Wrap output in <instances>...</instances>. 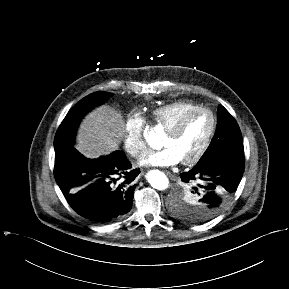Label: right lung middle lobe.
Masks as SVG:
<instances>
[{"mask_svg":"<svg viewBox=\"0 0 289 289\" xmlns=\"http://www.w3.org/2000/svg\"><path fill=\"white\" fill-rule=\"evenodd\" d=\"M110 95L108 92H94L70 109L55 135V154L73 144L77 127L83 116L95 106L104 103Z\"/></svg>","mask_w":289,"mask_h":289,"instance_id":"1","label":"right lung middle lobe"}]
</instances>
